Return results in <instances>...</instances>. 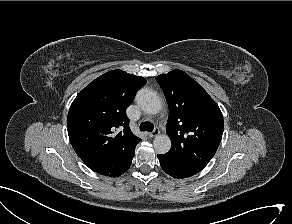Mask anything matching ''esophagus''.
<instances>
[{
	"label": "esophagus",
	"mask_w": 292,
	"mask_h": 224,
	"mask_svg": "<svg viewBox=\"0 0 292 224\" xmlns=\"http://www.w3.org/2000/svg\"><path fill=\"white\" fill-rule=\"evenodd\" d=\"M159 134H160V131H159L158 128H156L154 131L149 132V133H148V136H149V137H155V136H157V135H159Z\"/></svg>",
	"instance_id": "obj_1"
}]
</instances>
